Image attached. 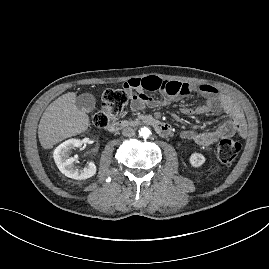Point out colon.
I'll return each mask as SVG.
<instances>
[{
    "mask_svg": "<svg viewBox=\"0 0 269 269\" xmlns=\"http://www.w3.org/2000/svg\"><path fill=\"white\" fill-rule=\"evenodd\" d=\"M129 89H107L102 95L101 106L93 116L92 122L96 127L103 128L117 119L129 98ZM241 150V144L232 139H222L217 146L218 159L224 164L232 163Z\"/></svg>",
    "mask_w": 269,
    "mask_h": 269,
    "instance_id": "obj_1",
    "label": "colon"
}]
</instances>
